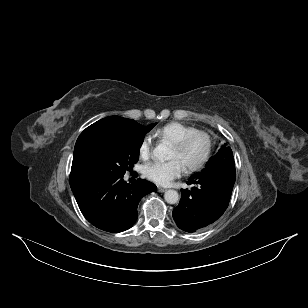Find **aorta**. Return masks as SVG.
<instances>
[{"label":"aorta","instance_id":"1","mask_svg":"<svg viewBox=\"0 0 308 308\" xmlns=\"http://www.w3.org/2000/svg\"><path fill=\"white\" fill-rule=\"evenodd\" d=\"M153 154L160 160H166L169 157V148L165 144L157 145ZM165 201L169 204H176L179 201V194L175 190H167L164 194Z\"/></svg>","mask_w":308,"mask_h":308}]
</instances>
